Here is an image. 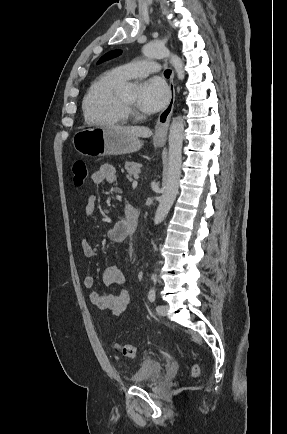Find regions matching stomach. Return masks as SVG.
Returning a JSON list of instances; mask_svg holds the SVG:
<instances>
[{
  "instance_id": "0dacf381",
  "label": "stomach",
  "mask_w": 287,
  "mask_h": 434,
  "mask_svg": "<svg viewBox=\"0 0 287 434\" xmlns=\"http://www.w3.org/2000/svg\"><path fill=\"white\" fill-rule=\"evenodd\" d=\"M75 150L85 156L123 155L138 151L143 142L110 127H89L77 131L72 139ZM162 146L164 140H154Z\"/></svg>"
}]
</instances>
